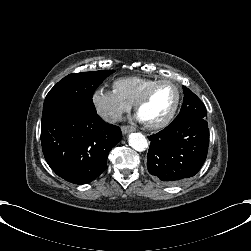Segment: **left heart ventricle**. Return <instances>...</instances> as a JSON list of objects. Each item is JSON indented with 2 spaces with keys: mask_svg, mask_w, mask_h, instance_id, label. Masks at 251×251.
<instances>
[{
  "mask_svg": "<svg viewBox=\"0 0 251 251\" xmlns=\"http://www.w3.org/2000/svg\"><path fill=\"white\" fill-rule=\"evenodd\" d=\"M177 99V86L173 82L161 83L140 109L139 117L147 123L160 122L172 111Z\"/></svg>",
  "mask_w": 251,
  "mask_h": 251,
  "instance_id": "left-heart-ventricle-1",
  "label": "left heart ventricle"
}]
</instances>
